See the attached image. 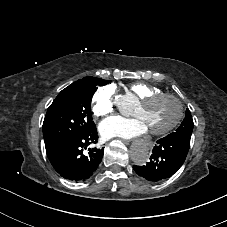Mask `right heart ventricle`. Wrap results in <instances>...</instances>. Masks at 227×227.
Listing matches in <instances>:
<instances>
[{
	"instance_id": "right-heart-ventricle-1",
	"label": "right heart ventricle",
	"mask_w": 227,
	"mask_h": 227,
	"mask_svg": "<svg viewBox=\"0 0 227 227\" xmlns=\"http://www.w3.org/2000/svg\"><path fill=\"white\" fill-rule=\"evenodd\" d=\"M130 94L135 95L137 98H142L147 95L162 92V90L154 85H150L143 81H135L128 85Z\"/></svg>"
}]
</instances>
